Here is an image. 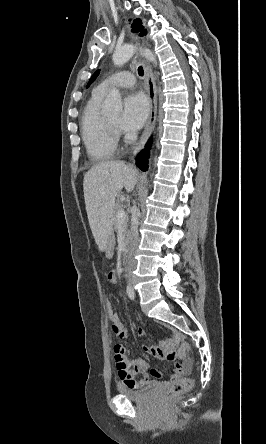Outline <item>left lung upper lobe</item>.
<instances>
[{
  "label": "left lung upper lobe",
  "instance_id": "1",
  "mask_svg": "<svg viewBox=\"0 0 266 444\" xmlns=\"http://www.w3.org/2000/svg\"><path fill=\"white\" fill-rule=\"evenodd\" d=\"M132 31L133 32H139V31H141L142 29H143V26H142V22H141V20L140 19H136V20H134V22H133V24H132ZM144 34H146V31L144 30L143 32H141L140 33V35L141 36H143ZM99 73H100V70H98V71H96L93 75H92V77H91V79H90V81H89V83H88V85H87V88L90 86V84L97 78V76L99 75Z\"/></svg>",
  "mask_w": 266,
  "mask_h": 444
}]
</instances>
